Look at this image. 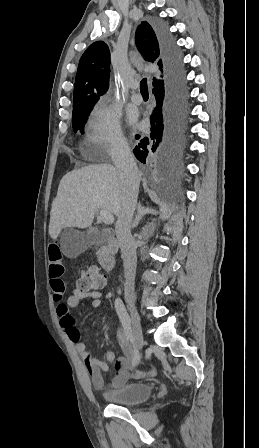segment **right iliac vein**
Segmentation results:
<instances>
[{"instance_id":"right-iliac-vein-1","label":"right iliac vein","mask_w":259,"mask_h":448,"mask_svg":"<svg viewBox=\"0 0 259 448\" xmlns=\"http://www.w3.org/2000/svg\"><path fill=\"white\" fill-rule=\"evenodd\" d=\"M128 308L131 314V321H132V333L134 337V341L136 344L137 349L141 350L144 346V339L140 324V316L137 311V308L135 306V303L132 300H128L127 302Z\"/></svg>"}]
</instances>
